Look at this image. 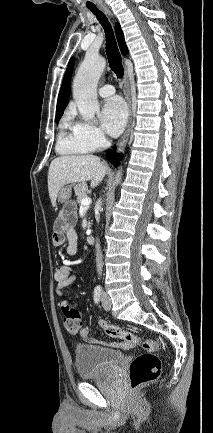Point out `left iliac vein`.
<instances>
[{
  "label": "left iliac vein",
  "instance_id": "4c4485c4",
  "mask_svg": "<svg viewBox=\"0 0 213 433\" xmlns=\"http://www.w3.org/2000/svg\"><path fill=\"white\" fill-rule=\"evenodd\" d=\"M102 305L106 311H109L112 307L111 299L105 292L102 295Z\"/></svg>",
  "mask_w": 213,
  "mask_h": 433
}]
</instances>
